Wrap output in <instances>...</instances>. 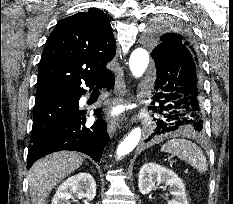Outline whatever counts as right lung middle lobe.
Instances as JSON below:
<instances>
[{
	"mask_svg": "<svg viewBox=\"0 0 233 204\" xmlns=\"http://www.w3.org/2000/svg\"><path fill=\"white\" fill-rule=\"evenodd\" d=\"M78 96H53L36 102L30 143L51 133L76 110Z\"/></svg>",
	"mask_w": 233,
	"mask_h": 204,
	"instance_id": "right-lung-middle-lobe-1",
	"label": "right lung middle lobe"
}]
</instances>
